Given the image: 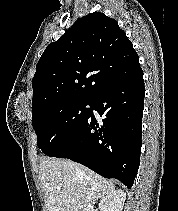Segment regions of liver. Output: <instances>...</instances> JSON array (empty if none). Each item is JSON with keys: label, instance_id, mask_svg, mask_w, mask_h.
Returning a JSON list of instances; mask_svg holds the SVG:
<instances>
[{"label": "liver", "instance_id": "6515ba94", "mask_svg": "<svg viewBox=\"0 0 178 211\" xmlns=\"http://www.w3.org/2000/svg\"><path fill=\"white\" fill-rule=\"evenodd\" d=\"M39 179L48 211H93L102 196L114 191V184L71 160L45 159Z\"/></svg>", "mask_w": 178, "mask_h": 211}]
</instances>
